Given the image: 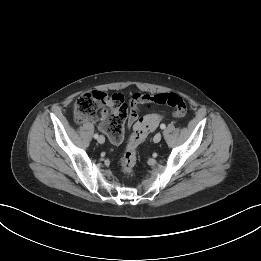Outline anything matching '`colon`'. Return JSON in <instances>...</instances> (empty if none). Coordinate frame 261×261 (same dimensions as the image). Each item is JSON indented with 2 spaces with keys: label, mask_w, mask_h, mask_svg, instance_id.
Returning <instances> with one entry per match:
<instances>
[{
  "label": "colon",
  "mask_w": 261,
  "mask_h": 261,
  "mask_svg": "<svg viewBox=\"0 0 261 261\" xmlns=\"http://www.w3.org/2000/svg\"><path fill=\"white\" fill-rule=\"evenodd\" d=\"M154 102L169 106L173 115L182 117L186 113V104L182 97L175 93H162L154 96ZM74 116L79 123L95 120L102 116L101 129L110 137L113 144L124 142V124L128 117V107L124 100L116 94L109 95L100 91H90L80 95L74 104ZM161 120L157 114L140 118L133 127L121 160V170L131 174L137 161V149Z\"/></svg>",
  "instance_id": "obj_1"
}]
</instances>
